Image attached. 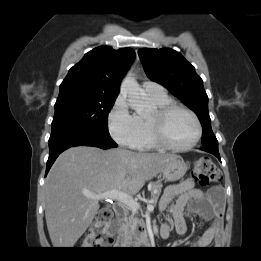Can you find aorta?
<instances>
[{"instance_id": "1", "label": "aorta", "mask_w": 261, "mask_h": 261, "mask_svg": "<svg viewBox=\"0 0 261 261\" xmlns=\"http://www.w3.org/2000/svg\"><path fill=\"white\" fill-rule=\"evenodd\" d=\"M141 89L136 80L127 75L120 87V93L127 98L129 105L137 112H141L146 108V103L142 100L140 95Z\"/></svg>"}]
</instances>
